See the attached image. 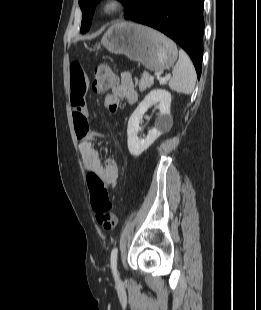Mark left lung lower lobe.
Here are the masks:
<instances>
[{
  "label": "left lung lower lobe",
  "mask_w": 261,
  "mask_h": 310,
  "mask_svg": "<svg viewBox=\"0 0 261 310\" xmlns=\"http://www.w3.org/2000/svg\"><path fill=\"white\" fill-rule=\"evenodd\" d=\"M203 5L204 0H136L124 18L153 27L173 39L189 54L200 78Z\"/></svg>",
  "instance_id": "0a47b994"
}]
</instances>
